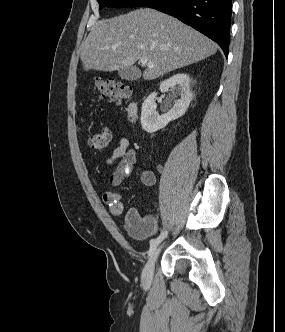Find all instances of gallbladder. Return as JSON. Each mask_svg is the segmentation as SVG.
<instances>
[{
	"instance_id": "1",
	"label": "gallbladder",
	"mask_w": 285,
	"mask_h": 332,
	"mask_svg": "<svg viewBox=\"0 0 285 332\" xmlns=\"http://www.w3.org/2000/svg\"><path fill=\"white\" fill-rule=\"evenodd\" d=\"M118 75L121 79L135 81L141 77V72L136 67L121 68L118 70Z\"/></svg>"
}]
</instances>
